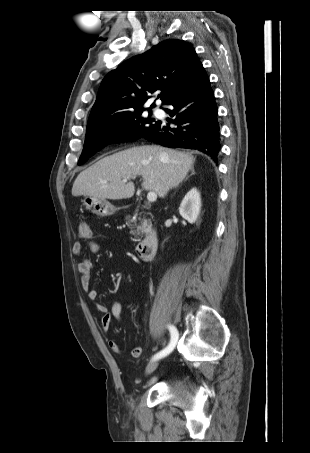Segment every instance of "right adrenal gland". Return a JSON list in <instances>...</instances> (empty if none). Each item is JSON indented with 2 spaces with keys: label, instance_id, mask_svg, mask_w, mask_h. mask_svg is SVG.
<instances>
[{
  "label": "right adrenal gland",
  "instance_id": "obj_1",
  "mask_svg": "<svg viewBox=\"0 0 310 453\" xmlns=\"http://www.w3.org/2000/svg\"><path fill=\"white\" fill-rule=\"evenodd\" d=\"M194 174H195V172H194V169H193V168H191V175H190V176H192V175H194ZM188 178H189V176H188V177H187V178H186V179L184 180V182H185V181H187V180H188Z\"/></svg>",
  "mask_w": 310,
  "mask_h": 453
}]
</instances>
